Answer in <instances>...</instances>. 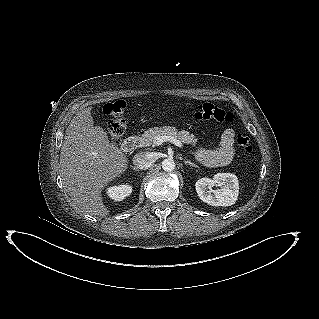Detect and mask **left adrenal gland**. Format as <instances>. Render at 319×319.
Instances as JSON below:
<instances>
[{
  "mask_svg": "<svg viewBox=\"0 0 319 319\" xmlns=\"http://www.w3.org/2000/svg\"><path fill=\"white\" fill-rule=\"evenodd\" d=\"M183 162H184V164H185V165H190V166H193V167L199 168V166H198V165H196V164L192 163V162H191V161H189V160H183Z\"/></svg>",
  "mask_w": 319,
  "mask_h": 319,
  "instance_id": "a2214340",
  "label": "left adrenal gland"
}]
</instances>
